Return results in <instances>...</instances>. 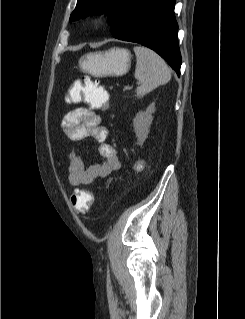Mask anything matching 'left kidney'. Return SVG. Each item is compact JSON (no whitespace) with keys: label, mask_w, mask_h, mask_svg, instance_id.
<instances>
[{"label":"left kidney","mask_w":245,"mask_h":319,"mask_svg":"<svg viewBox=\"0 0 245 319\" xmlns=\"http://www.w3.org/2000/svg\"><path fill=\"white\" fill-rule=\"evenodd\" d=\"M154 111L155 103H151L146 111H139L133 120V127L138 145L142 146L148 136L149 127L153 120L152 113H154Z\"/></svg>","instance_id":"1"}]
</instances>
